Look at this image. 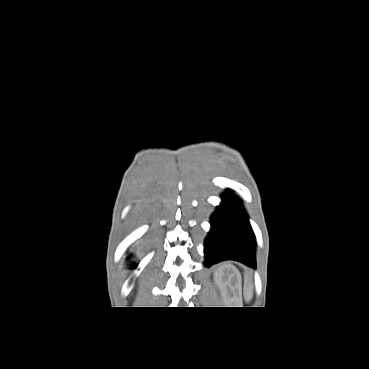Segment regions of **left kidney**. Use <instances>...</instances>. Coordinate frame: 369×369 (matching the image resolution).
<instances>
[{
	"mask_svg": "<svg viewBox=\"0 0 369 369\" xmlns=\"http://www.w3.org/2000/svg\"><path fill=\"white\" fill-rule=\"evenodd\" d=\"M214 281L220 290H237L240 283V274L234 266H222L213 274Z\"/></svg>",
	"mask_w": 369,
	"mask_h": 369,
	"instance_id": "left-kidney-1",
	"label": "left kidney"
}]
</instances>
